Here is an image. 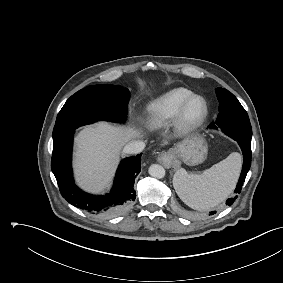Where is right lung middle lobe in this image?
<instances>
[{"instance_id": "1", "label": "right lung middle lobe", "mask_w": 283, "mask_h": 283, "mask_svg": "<svg viewBox=\"0 0 283 283\" xmlns=\"http://www.w3.org/2000/svg\"><path fill=\"white\" fill-rule=\"evenodd\" d=\"M130 93L113 85L88 86L72 95L60 110L53 130V142L76 128L99 120L123 122Z\"/></svg>"}]
</instances>
